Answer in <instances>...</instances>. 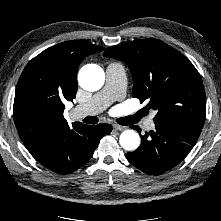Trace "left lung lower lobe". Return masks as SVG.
Wrapping results in <instances>:
<instances>
[{
	"label": "left lung lower lobe",
	"instance_id": "obj_1",
	"mask_svg": "<svg viewBox=\"0 0 221 221\" xmlns=\"http://www.w3.org/2000/svg\"><path fill=\"white\" fill-rule=\"evenodd\" d=\"M138 132L140 127L132 126ZM200 134L185 129L155 125L141 136L140 147L126 153L127 160L149 175L164 173L178 165L191 151Z\"/></svg>",
	"mask_w": 221,
	"mask_h": 221
}]
</instances>
